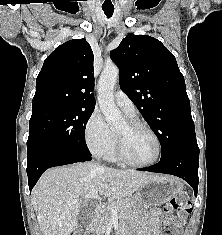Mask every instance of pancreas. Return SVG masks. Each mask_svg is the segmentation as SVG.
Listing matches in <instances>:
<instances>
[{
	"label": "pancreas",
	"mask_w": 222,
	"mask_h": 235,
	"mask_svg": "<svg viewBox=\"0 0 222 235\" xmlns=\"http://www.w3.org/2000/svg\"><path fill=\"white\" fill-rule=\"evenodd\" d=\"M134 202L131 199H123L111 202L107 208L102 212L100 216L96 218V220L92 223V228L97 235H103L110 219L112 217L111 209L117 208L118 215L123 217H130L135 213L134 210Z\"/></svg>",
	"instance_id": "pancreas-1"
}]
</instances>
